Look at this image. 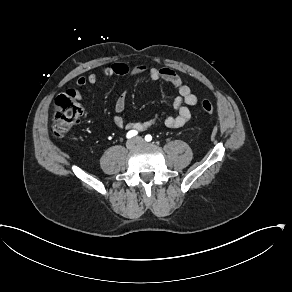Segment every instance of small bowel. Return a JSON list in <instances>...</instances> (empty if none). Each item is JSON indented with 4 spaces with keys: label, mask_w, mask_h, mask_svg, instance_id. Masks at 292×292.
I'll use <instances>...</instances> for the list:
<instances>
[{
    "label": "small bowel",
    "mask_w": 292,
    "mask_h": 292,
    "mask_svg": "<svg viewBox=\"0 0 292 292\" xmlns=\"http://www.w3.org/2000/svg\"><path fill=\"white\" fill-rule=\"evenodd\" d=\"M142 74H147L149 78L154 81H166L177 89L178 96L174 99L173 102V107L176 111V114L167 116L165 119V125L168 128H179L185 125L191 118L190 107L195 106L198 99L197 96L192 92L191 88L185 84L182 78L172 69L165 67H148L143 64L129 66L125 63L117 62L106 67L103 70L102 76L104 78H110L114 75L138 76ZM100 81L101 77L98 74L90 73L87 76H80L77 78L76 85L78 87H85L87 85H96ZM72 94L78 101L83 99V95L77 89H74ZM126 100L127 90H123L115 102V112L117 115L113 118V123L117 128L143 131L156 124L158 117H153L151 119L140 122L126 123L121 116L126 107Z\"/></svg>",
    "instance_id": "1"
}]
</instances>
